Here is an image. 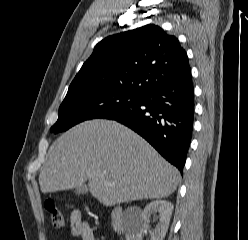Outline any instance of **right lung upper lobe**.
Returning a JSON list of instances; mask_svg holds the SVG:
<instances>
[{
  "instance_id": "obj_1",
  "label": "right lung upper lobe",
  "mask_w": 248,
  "mask_h": 240,
  "mask_svg": "<svg viewBox=\"0 0 248 240\" xmlns=\"http://www.w3.org/2000/svg\"><path fill=\"white\" fill-rule=\"evenodd\" d=\"M190 72L186 51L178 39L152 24L99 42L68 90L119 89L145 95Z\"/></svg>"
}]
</instances>
